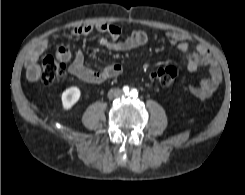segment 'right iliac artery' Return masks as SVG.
I'll return each mask as SVG.
<instances>
[{"instance_id": "82829eb1", "label": "right iliac artery", "mask_w": 245, "mask_h": 195, "mask_svg": "<svg viewBox=\"0 0 245 195\" xmlns=\"http://www.w3.org/2000/svg\"><path fill=\"white\" fill-rule=\"evenodd\" d=\"M123 91H124L126 94H128V92H129V87L124 86V87H123Z\"/></svg>"}]
</instances>
